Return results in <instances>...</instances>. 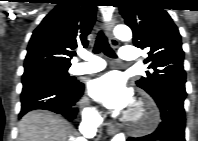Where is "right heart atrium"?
<instances>
[{"instance_id":"obj_1","label":"right heart atrium","mask_w":198,"mask_h":141,"mask_svg":"<svg viewBox=\"0 0 198 141\" xmlns=\"http://www.w3.org/2000/svg\"><path fill=\"white\" fill-rule=\"evenodd\" d=\"M86 115L90 118L96 117V113L92 108L86 109Z\"/></svg>"}]
</instances>
